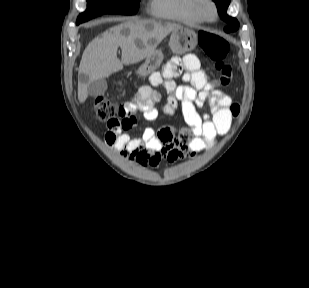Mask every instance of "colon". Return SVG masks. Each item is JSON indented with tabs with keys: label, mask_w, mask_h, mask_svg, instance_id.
<instances>
[{
	"label": "colon",
	"mask_w": 309,
	"mask_h": 288,
	"mask_svg": "<svg viewBox=\"0 0 309 288\" xmlns=\"http://www.w3.org/2000/svg\"><path fill=\"white\" fill-rule=\"evenodd\" d=\"M198 43L201 53L215 62L219 73L218 85L228 86L233 78V68L225 62L228 53L227 42L219 35L202 30L198 33ZM94 115L100 121L119 122L121 125H134L136 119L124 104H116L104 96H98L94 102ZM232 115L237 117L240 108L237 105L231 108Z\"/></svg>",
	"instance_id": "5ec220e1"
}]
</instances>
